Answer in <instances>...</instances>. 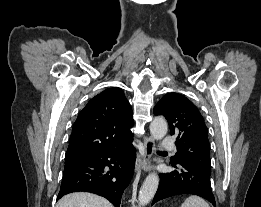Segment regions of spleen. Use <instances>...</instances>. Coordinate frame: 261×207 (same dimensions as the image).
<instances>
[{
	"instance_id": "obj_1",
	"label": "spleen",
	"mask_w": 261,
	"mask_h": 207,
	"mask_svg": "<svg viewBox=\"0 0 261 207\" xmlns=\"http://www.w3.org/2000/svg\"><path fill=\"white\" fill-rule=\"evenodd\" d=\"M181 207H210V206L204 199L198 196H190L182 203Z\"/></svg>"
}]
</instances>
